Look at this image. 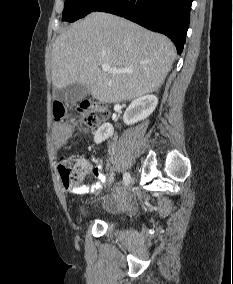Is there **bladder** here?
Returning <instances> with one entry per match:
<instances>
[{"label": "bladder", "mask_w": 233, "mask_h": 284, "mask_svg": "<svg viewBox=\"0 0 233 284\" xmlns=\"http://www.w3.org/2000/svg\"><path fill=\"white\" fill-rule=\"evenodd\" d=\"M108 224H109L110 226H112V227H114V226H115V223H114V222H112V221L108 222Z\"/></svg>", "instance_id": "1"}]
</instances>
